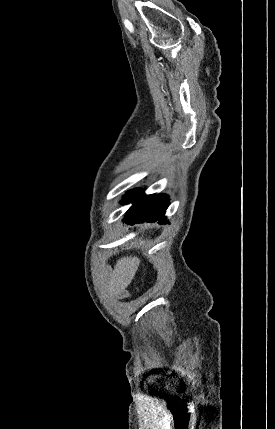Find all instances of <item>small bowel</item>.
Returning <instances> with one entry per match:
<instances>
[{
	"label": "small bowel",
	"instance_id": "c3829d8e",
	"mask_svg": "<svg viewBox=\"0 0 275 429\" xmlns=\"http://www.w3.org/2000/svg\"><path fill=\"white\" fill-rule=\"evenodd\" d=\"M118 295L120 298H125L128 295V293L126 291L122 290V291L118 292Z\"/></svg>",
	"mask_w": 275,
	"mask_h": 429
}]
</instances>
